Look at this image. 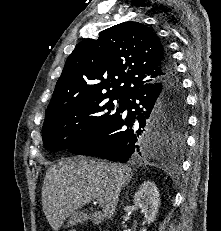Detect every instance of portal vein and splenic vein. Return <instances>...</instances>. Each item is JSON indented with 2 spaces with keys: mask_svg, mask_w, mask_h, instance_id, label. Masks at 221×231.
<instances>
[{
  "mask_svg": "<svg viewBox=\"0 0 221 231\" xmlns=\"http://www.w3.org/2000/svg\"><path fill=\"white\" fill-rule=\"evenodd\" d=\"M96 203H98V204H102V203H103V200H102V199H100V198H98V199H96Z\"/></svg>",
  "mask_w": 221,
  "mask_h": 231,
  "instance_id": "obj_1",
  "label": "portal vein and splenic vein"
}]
</instances>
